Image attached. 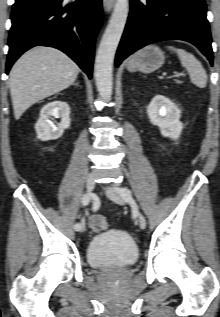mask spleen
Returning a JSON list of instances; mask_svg holds the SVG:
<instances>
[{
    "label": "spleen",
    "instance_id": "spleen-1",
    "mask_svg": "<svg viewBox=\"0 0 220 317\" xmlns=\"http://www.w3.org/2000/svg\"><path fill=\"white\" fill-rule=\"evenodd\" d=\"M168 49L175 51L181 61V65L188 71L191 82L199 88H204L207 85V73L200 61L194 55L183 49H178L169 46Z\"/></svg>",
    "mask_w": 220,
    "mask_h": 317
}]
</instances>
